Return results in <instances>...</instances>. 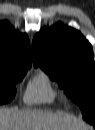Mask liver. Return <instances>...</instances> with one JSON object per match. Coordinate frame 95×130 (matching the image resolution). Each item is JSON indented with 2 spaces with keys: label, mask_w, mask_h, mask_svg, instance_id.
Masks as SVG:
<instances>
[{
  "label": "liver",
  "mask_w": 95,
  "mask_h": 130,
  "mask_svg": "<svg viewBox=\"0 0 95 130\" xmlns=\"http://www.w3.org/2000/svg\"><path fill=\"white\" fill-rule=\"evenodd\" d=\"M71 116L37 109H1L0 130H80Z\"/></svg>",
  "instance_id": "6515ba94"
}]
</instances>
